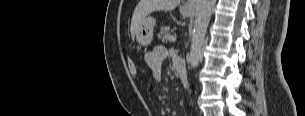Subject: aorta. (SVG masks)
Returning <instances> with one entry per match:
<instances>
[{
  "mask_svg": "<svg viewBox=\"0 0 305 116\" xmlns=\"http://www.w3.org/2000/svg\"><path fill=\"white\" fill-rule=\"evenodd\" d=\"M215 3L216 0H197L189 58L192 68H195L199 63L201 47L206 36Z\"/></svg>",
  "mask_w": 305,
  "mask_h": 116,
  "instance_id": "obj_1",
  "label": "aorta"
}]
</instances>
